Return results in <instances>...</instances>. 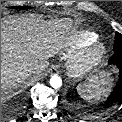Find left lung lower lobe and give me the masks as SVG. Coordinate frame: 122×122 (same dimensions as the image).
Returning a JSON list of instances; mask_svg holds the SVG:
<instances>
[{
    "mask_svg": "<svg viewBox=\"0 0 122 122\" xmlns=\"http://www.w3.org/2000/svg\"><path fill=\"white\" fill-rule=\"evenodd\" d=\"M110 65H115L119 69V80L107 98L108 105H115L122 102V52H114L109 59Z\"/></svg>",
    "mask_w": 122,
    "mask_h": 122,
    "instance_id": "1",
    "label": "left lung lower lobe"
}]
</instances>
